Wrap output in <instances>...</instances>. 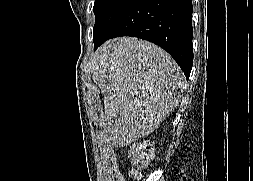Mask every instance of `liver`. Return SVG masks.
<instances>
[{"instance_id": "liver-1", "label": "liver", "mask_w": 253, "mask_h": 181, "mask_svg": "<svg viewBox=\"0 0 253 181\" xmlns=\"http://www.w3.org/2000/svg\"><path fill=\"white\" fill-rule=\"evenodd\" d=\"M90 70L103 95L101 126L113 146H127L158 128L178 105L177 90L185 84L168 53L131 37L100 46Z\"/></svg>"}]
</instances>
